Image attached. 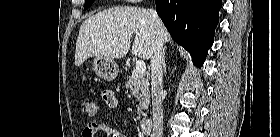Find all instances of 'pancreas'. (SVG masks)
I'll return each instance as SVG.
<instances>
[{"label":"pancreas","mask_w":280,"mask_h":137,"mask_svg":"<svg viewBox=\"0 0 280 137\" xmlns=\"http://www.w3.org/2000/svg\"><path fill=\"white\" fill-rule=\"evenodd\" d=\"M128 81L125 86L131 90L132 94L136 97L139 102L137 106L138 120L141 122L145 120L147 112L150 107V90L148 79L142 74L133 72L131 76L127 77Z\"/></svg>","instance_id":"1"}]
</instances>
